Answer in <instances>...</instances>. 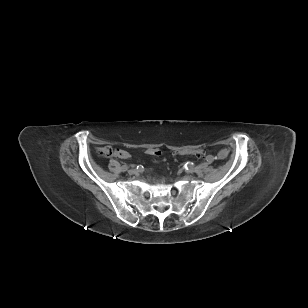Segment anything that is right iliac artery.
Returning a JSON list of instances; mask_svg holds the SVG:
<instances>
[{"label": "right iliac artery", "mask_w": 308, "mask_h": 308, "mask_svg": "<svg viewBox=\"0 0 308 308\" xmlns=\"http://www.w3.org/2000/svg\"><path fill=\"white\" fill-rule=\"evenodd\" d=\"M128 169V166L127 165H122V167H121V170L122 171H126Z\"/></svg>", "instance_id": "obj_1"}]
</instances>
